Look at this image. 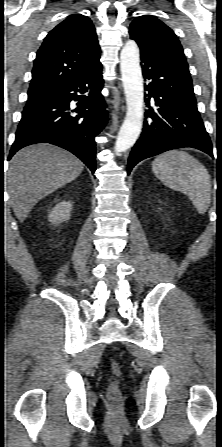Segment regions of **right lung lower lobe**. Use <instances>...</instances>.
<instances>
[{"label":"right lung lower lobe","mask_w":222,"mask_h":447,"mask_svg":"<svg viewBox=\"0 0 222 447\" xmlns=\"http://www.w3.org/2000/svg\"><path fill=\"white\" fill-rule=\"evenodd\" d=\"M102 88V64L99 63L48 99L26 106L8 160L25 146L51 143L72 152L94 173V138L107 122ZM72 100L78 101L76 109L70 106Z\"/></svg>","instance_id":"obj_1"}]
</instances>
